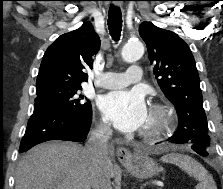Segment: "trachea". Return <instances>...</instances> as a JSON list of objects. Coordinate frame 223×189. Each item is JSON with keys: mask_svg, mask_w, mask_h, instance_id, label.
Returning a JSON list of instances; mask_svg holds the SVG:
<instances>
[{"mask_svg": "<svg viewBox=\"0 0 223 189\" xmlns=\"http://www.w3.org/2000/svg\"><path fill=\"white\" fill-rule=\"evenodd\" d=\"M108 28L114 40H118L122 28V13L118 7L112 5L108 12Z\"/></svg>", "mask_w": 223, "mask_h": 189, "instance_id": "3493384b", "label": "trachea"}]
</instances>
